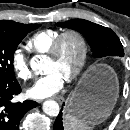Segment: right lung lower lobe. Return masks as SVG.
Listing matches in <instances>:
<instances>
[{"instance_id": "1", "label": "right lung lower lobe", "mask_w": 130, "mask_h": 130, "mask_svg": "<svg viewBox=\"0 0 130 130\" xmlns=\"http://www.w3.org/2000/svg\"><path fill=\"white\" fill-rule=\"evenodd\" d=\"M21 92L19 83L0 78V130H19L25 113L37 106V102L26 100L14 103L12 99Z\"/></svg>"}]
</instances>
